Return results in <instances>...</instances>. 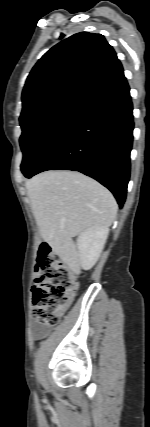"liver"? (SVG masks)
I'll return each instance as SVG.
<instances>
[{
  "label": "liver",
  "instance_id": "liver-1",
  "mask_svg": "<svg viewBox=\"0 0 150 427\" xmlns=\"http://www.w3.org/2000/svg\"><path fill=\"white\" fill-rule=\"evenodd\" d=\"M41 237L69 258L72 238L92 226L109 227L117 203L109 190L79 172L46 171L26 182Z\"/></svg>",
  "mask_w": 150,
  "mask_h": 427
}]
</instances>
